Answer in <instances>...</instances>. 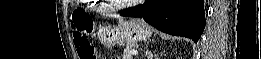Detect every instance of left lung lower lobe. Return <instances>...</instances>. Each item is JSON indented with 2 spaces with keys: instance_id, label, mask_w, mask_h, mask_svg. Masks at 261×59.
Listing matches in <instances>:
<instances>
[{
  "instance_id": "left-lung-lower-lobe-1",
  "label": "left lung lower lobe",
  "mask_w": 261,
  "mask_h": 59,
  "mask_svg": "<svg viewBox=\"0 0 261 59\" xmlns=\"http://www.w3.org/2000/svg\"><path fill=\"white\" fill-rule=\"evenodd\" d=\"M127 17H143L158 30L197 42L205 27L204 0H147L120 11Z\"/></svg>"
}]
</instances>
